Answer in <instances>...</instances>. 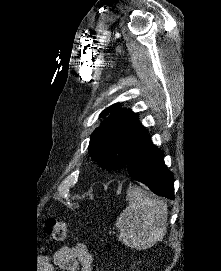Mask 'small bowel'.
<instances>
[{
    "label": "small bowel",
    "instance_id": "c3829d8e",
    "mask_svg": "<svg viewBox=\"0 0 221 271\" xmlns=\"http://www.w3.org/2000/svg\"><path fill=\"white\" fill-rule=\"evenodd\" d=\"M48 259L44 258L43 263ZM54 263L65 271H92L94 258L83 243H76L72 246H62L55 253ZM44 270H49L48 266Z\"/></svg>",
    "mask_w": 221,
    "mask_h": 271
}]
</instances>
